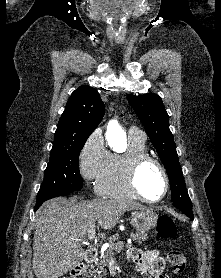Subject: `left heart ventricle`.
I'll use <instances>...</instances> for the list:
<instances>
[{
    "label": "left heart ventricle",
    "mask_w": 221,
    "mask_h": 278,
    "mask_svg": "<svg viewBox=\"0 0 221 278\" xmlns=\"http://www.w3.org/2000/svg\"><path fill=\"white\" fill-rule=\"evenodd\" d=\"M138 185L142 193L149 199H158L164 192V178L158 167L148 163L141 169Z\"/></svg>",
    "instance_id": "left-heart-ventricle-1"
}]
</instances>
